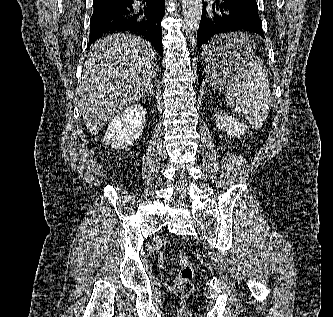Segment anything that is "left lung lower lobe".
Masks as SVG:
<instances>
[{"instance_id": "1", "label": "left lung lower lobe", "mask_w": 333, "mask_h": 317, "mask_svg": "<svg viewBox=\"0 0 333 317\" xmlns=\"http://www.w3.org/2000/svg\"><path fill=\"white\" fill-rule=\"evenodd\" d=\"M238 31L255 32L265 38L256 0H215L212 5L203 1L197 34L198 49L214 35ZM238 51L231 50L224 43L208 48L203 60L198 62L199 85L205 77L207 65L235 56Z\"/></svg>"}]
</instances>
